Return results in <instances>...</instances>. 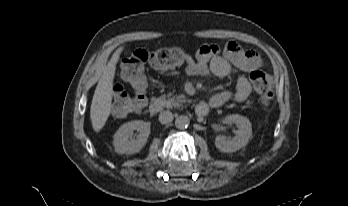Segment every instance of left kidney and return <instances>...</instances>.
<instances>
[{"label":"left kidney","mask_w":348,"mask_h":206,"mask_svg":"<svg viewBox=\"0 0 348 206\" xmlns=\"http://www.w3.org/2000/svg\"><path fill=\"white\" fill-rule=\"evenodd\" d=\"M224 122L235 124L238 130L235 131L233 138H227L221 135L217 136L215 138L216 148L221 152L231 153L246 146L252 137V126L249 119L238 114H232L227 116Z\"/></svg>","instance_id":"1"}]
</instances>
